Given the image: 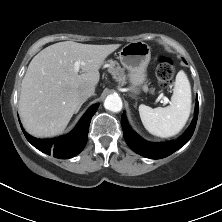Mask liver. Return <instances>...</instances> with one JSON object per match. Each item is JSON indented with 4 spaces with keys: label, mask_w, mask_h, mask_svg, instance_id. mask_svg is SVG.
I'll return each mask as SVG.
<instances>
[{
    "label": "liver",
    "mask_w": 222,
    "mask_h": 222,
    "mask_svg": "<svg viewBox=\"0 0 222 222\" xmlns=\"http://www.w3.org/2000/svg\"><path fill=\"white\" fill-rule=\"evenodd\" d=\"M119 47L64 41L40 51L21 84L19 114L25 130L40 138L61 134L83 100L80 87L98 84L104 60ZM76 61L84 62L81 74L74 69Z\"/></svg>",
    "instance_id": "1"
}]
</instances>
